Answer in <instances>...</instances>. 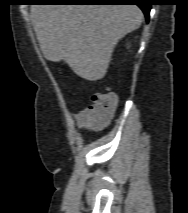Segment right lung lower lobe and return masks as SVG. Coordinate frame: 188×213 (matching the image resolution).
Masks as SVG:
<instances>
[{
  "label": "right lung lower lobe",
  "mask_w": 188,
  "mask_h": 213,
  "mask_svg": "<svg viewBox=\"0 0 188 213\" xmlns=\"http://www.w3.org/2000/svg\"><path fill=\"white\" fill-rule=\"evenodd\" d=\"M41 3H54V4H136L145 14L149 20V12L151 3L149 0H45Z\"/></svg>",
  "instance_id": "right-lung-lower-lobe-1"
}]
</instances>
